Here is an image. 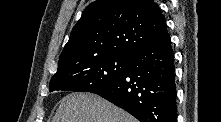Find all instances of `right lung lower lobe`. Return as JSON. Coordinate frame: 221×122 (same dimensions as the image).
Returning a JSON list of instances; mask_svg holds the SVG:
<instances>
[{"mask_svg": "<svg viewBox=\"0 0 221 122\" xmlns=\"http://www.w3.org/2000/svg\"><path fill=\"white\" fill-rule=\"evenodd\" d=\"M174 54L167 29L137 52L124 73L92 93L107 99L140 122H176Z\"/></svg>", "mask_w": 221, "mask_h": 122, "instance_id": "obj_1", "label": "right lung lower lobe"}]
</instances>
